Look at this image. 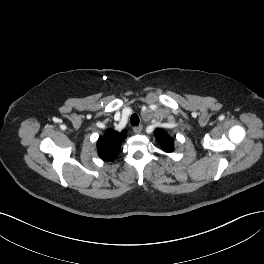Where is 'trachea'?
Segmentation results:
<instances>
[{"instance_id":"trachea-1","label":"trachea","mask_w":264,"mask_h":264,"mask_svg":"<svg viewBox=\"0 0 264 264\" xmlns=\"http://www.w3.org/2000/svg\"><path fill=\"white\" fill-rule=\"evenodd\" d=\"M130 123L133 126H138L139 125V117L137 114H133L130 118Z\"/></svg>"}]
</instances>
